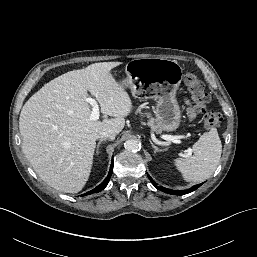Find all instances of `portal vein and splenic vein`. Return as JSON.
Here are the masks:
<instances>
[{"instance_id":"obj_1","label":"portal vein and splenic vein","mask_w":257,"mask_h":257,"mask_svg":"<svg viewBox=\"0 0 257 257\" xmlns=\"http://www.w3.org/2000/svg\"><path fill=\"white\" fill-rule=\"evenodd\" d=\"M86 101L92 106L90 119L94 120V121L98 120L100 112H99V105H98L97 101L93 98H87ZM165 139L168 141H171L173 143L179 142L178 137H176V136L168 135L165 137Z\"/></svg>"}]
</instances>
